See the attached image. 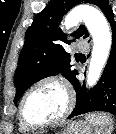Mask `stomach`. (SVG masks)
Instances as JSON below:
<instances>
[{
  "label": "stomach",
  "mask_w": 116,
  "mask_h": 134,
  "mask_svg": "<svg viewBox=\"0 0 116 134\" xmlns=\"http://www.w3.org/2000/svg\"><path fill=\"white\" fill-rule=\"evenodd\" d=\"M59 134H92V126L87 121H73L68 123Z\"/></svg>",
  "instance_id": "stomach-1"
}]
</instances>
